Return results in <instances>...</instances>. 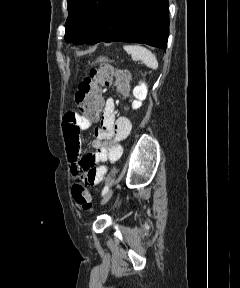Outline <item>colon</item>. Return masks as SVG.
I'll list each match as a JSON object with an SVG mask.
<instances>
[{
	"instance_id": "5ec220e1",
	"label": "colon",
	"mask_w": 240,
	"mask_h": 288,
	"mask_svg": "<svg viewBox=\"0 0 240 288\" xmlns=\"http://www.w3.org/2000/svg\"><path fill=\"white\" fill-rule=\"evenodd\" d=\"M114 84L121 93L127 92L128 75L124 71L115 72L110 66L93 68L89 76L82 80L75 93V103L88 120H96L102 109L101 85ZM74 201L84 210L92 209V199L83 180L78 179L72 186Z\"/></svg>"
}]
</instances>
